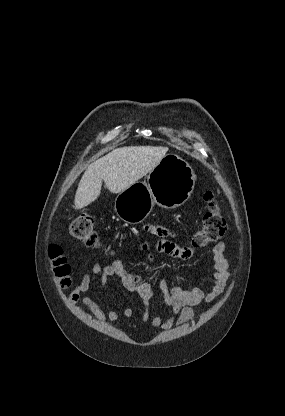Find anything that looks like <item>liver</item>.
<instances>
[{
    "instance_id": "obj_1",
    "label": "liver",
    "mask_w": 285,
    "mask_h": 416,
    "mask_svg": "<svg viewBox=\"0 0 285 416\" xmlns=\"http://www.w3.org/2000/svg\"><path fill=\"white\" fill-rule=\"evenodd\" d=\"M168 148L125 146L116 148L88 166L75 194V208L81 210L100 196L102 180L112 194L123 192L149 174L164 158Z\"/></svg>"
}]
</instances>
